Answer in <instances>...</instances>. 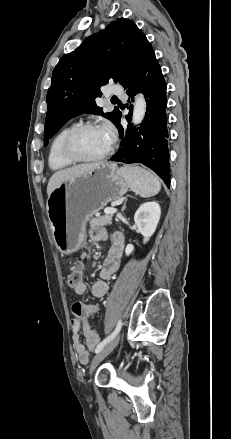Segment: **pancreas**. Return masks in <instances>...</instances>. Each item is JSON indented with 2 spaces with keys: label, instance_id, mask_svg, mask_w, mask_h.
I'll return each mask as SVG.
<instances>
[{
  "label": "pancreas",
  "instance_id": "obj_1",
  "mask_svg": "<svg viewBox=\"0 0 231 439\" xmlns=\"http://www.w3.org/2000/svg\"><path fill=\"white\" fill-rule=\"evenodd\" d=\"M90 227H96V226H110L112 224V215L105 214L98 218H93L90 220Z\"/></svg>",
  "mask_w": 231,
  "mask_h": 439
}]
</instances>
